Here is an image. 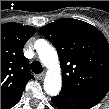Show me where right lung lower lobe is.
<instances>
[{"instance_id":"right-lung-lower-lobe-1","label":"right lung lower lobe","mask_w":109,"mask_h":109,"mask_svg":"<svg viewBox=\"0 0 109 109\" xmlns=\"http://www.w3.org/2000/svg\"><path fill=\"white\" fill-rule=\"evenodd\" d=\"M23 92V91H22ZM22 92L19 93L16 97H14L11 101H9L3 108L1 109H10L13 107L21 98Z\"/></svg>"}]
</instances>
